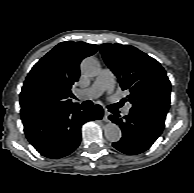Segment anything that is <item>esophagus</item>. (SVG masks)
<instances>
[{
    "instance_id": "34e87169",
    "label": "esophagus",
    "mask_w": 194,
    "mask_h": 193,
    "mask_svg": "<svg viewBox=\"0 0 194 193\" xmlns=\"http://www.w3.org/2000/svg\"><path fill=\"white\" fill-rule=\"evenodd\" d=\"M109 112L106 110L104 111L103 121L108 122L109 121Z\"/></svg>"
}]
</instances>
